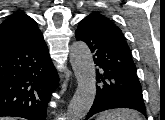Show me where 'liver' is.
<instances>
[{"label": "liver", "mask_w": 165, "mask_h": 120, "mask_svg": "<svg viewBox=\"0 0 165 120\" xmlns=\"http://www.w3.org/2000/svg\"><path fill=\"white\" fill-rule=\"evenodd\" d=\"M0 120H14L13 118L5 117V118H0Z\"/></svg>", "instance_id": "liver-1"}]
</instances>
